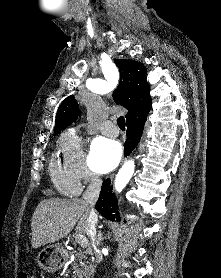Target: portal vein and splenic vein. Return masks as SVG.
Listing matches in <instances>:
<instances>
[{"label":"portal vein and splenic vein","mask_w":221,"mask_h":278,"mask_svg":"<svg viewBox=\"0 0 221 278\" xmlns=\"http://www.w3.org/2000/svg\"><path fill=\"white\" fill-rule=\"evenodd\" d=\"M75 241L82 247H86L88 245V240L83 235L75 236Z\"/></svg>","instance_id":"obj_1"}]
</instances>
